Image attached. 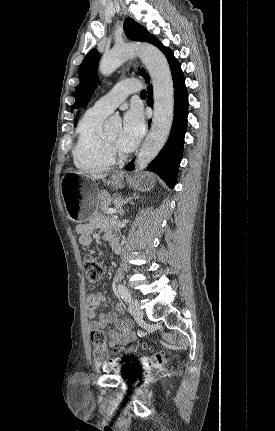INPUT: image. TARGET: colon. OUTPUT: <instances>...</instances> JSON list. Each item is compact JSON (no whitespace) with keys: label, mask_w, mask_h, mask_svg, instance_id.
<instances>
[{"label":"colon","mask_w":275,"mask_h":431,"mask_svg":"<svg viewBox=\"0 0 275 431\" xmlns=\"http://www.w3.org/2000/svg\"><path fill=\"white\" fill-rule=\"evenodd\" d=\"M83 268L85 270L87 281L91 288H93L102 278L104 273V263L101 258L93 255H86L83 259ZM90 339L93 346V355L96 364L105 371H110L120 365H131L132 359L130 357H118L116 351L113 356L107 349L106 336L101 329L92 330ZM145 348V344L140 345ZM142 360L153 366H162L166 363L167 358L163 353H158L152 356H143Z\"/></svg>","instance_id":"colon-1"}]
</instances>
